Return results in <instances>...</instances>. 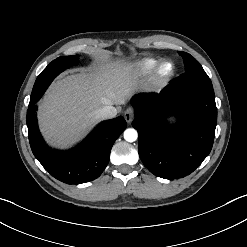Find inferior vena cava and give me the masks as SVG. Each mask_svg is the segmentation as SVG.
I'll use <instances>...</instances> for the list:
<instances>
[{
    "label": "inferior vena cava",
    "instance_id": "602c4592",
    "mask_svg": "<svg viewBox=\"0 0 247 247\" xmlns=\"http://www.w3.org/2000/svg\"><path fill=\"white\" fill-rule=\"evenodd\" d=\"M101 119H111L117 115V109L111 105H106L98 111Z\"/></svg>",
    "mask_w": 247,
    "mask_h": 247
}]
</instances>
